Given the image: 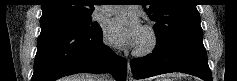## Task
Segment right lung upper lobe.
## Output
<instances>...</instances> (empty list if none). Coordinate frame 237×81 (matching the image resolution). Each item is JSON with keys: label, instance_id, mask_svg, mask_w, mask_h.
Masks as SVG:
<instances>
[{"label": "right lung upper lobe", "instance_id": "obj_1", "mask_svg": "<svg viewBox=\"0 0 237 81\" xmlns=\"http://www.w3.org/2000/svg\"><path fill=\"white\" fill-rule=\"evenodd\" d=\"M42 10L40 20L91 15L94 7L92 0H44Z\"/></svg>", "mask_w": 237, "mask_h": 81}]
</instances>
